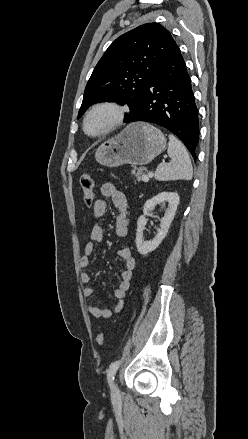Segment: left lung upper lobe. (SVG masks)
<instances>
[{"mask_svg":"<svg viewBox=\"0 0 248 439\" xmlns=\"http://www.w3.org/2000/svg\"><path fill=\"white\" fill-rule=\"evenodd\" d=\"M176 46L170 32L158 23L141 25L118 37L93 70L78 118L94 103L114 101L129 106L125 122Z\"/></svg>","mask_w":248,"mask_h":439,"instance_id":"left-lung-upper-lobe-1","label":"left lung upper lobe"}]
</instances>
